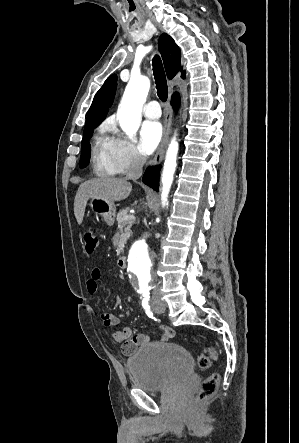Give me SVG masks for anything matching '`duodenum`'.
Masks as SVG:
<instances>
[{"label": "duodenum", "instance_id": "duodenum-1", "mask_svg": "<svg viewBox=\"0 0 299 443\" xmlns=\"http://www.w3.org/2000/svg\"><path fill=\"white\" fill-rule=\"evenodd\" d=\"M117 267L119 269H124L126 267V258L125 257H123V256L118 257Z\"/></svg>", "mask_w": 299, "mask_h": 443}]
</instances>
